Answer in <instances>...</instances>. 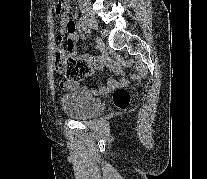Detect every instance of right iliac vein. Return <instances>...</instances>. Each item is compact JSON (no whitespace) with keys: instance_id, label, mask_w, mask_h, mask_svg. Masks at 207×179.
Masks as SVG:
<instances>
[{"instance_id":"right-iliac-vein-1","label":"right iliac vein","mask_w":207,"mask_h":179,"mask_svg":"<svg viewBox=\"0 0 207 179\" xmlns=\"http://www.w3.org/2000/svg\"><path fill=\"white\" fill-rule=\"evenodd\" d=\"M83 18L92 29H97L98 23L96 17L90 12H83Z\"/></svg>"}]
</instances>
